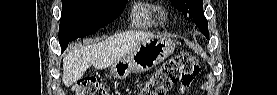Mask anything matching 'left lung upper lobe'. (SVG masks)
I'll list each match as a JSON object with an SVG mask.
<instances>
[{"mask_svg":"<svg viewBox=\"0 0 277 95\" xmlns=\"http://www.w3.org/2000/svg\"><path fill=\"white\" fill-rule=\"evenodd\" d=\"M184 16L192 18L198 25L202 34L209 37L208 22L203 14L202 0H170Z\"/></svg>","mask_w":277,"mask_h":95,"instance_id":"obj_1","label":"left lung upper lobe"}]
</instances>
